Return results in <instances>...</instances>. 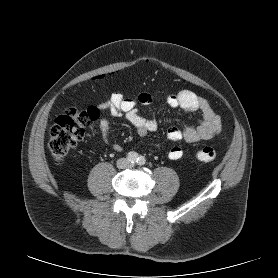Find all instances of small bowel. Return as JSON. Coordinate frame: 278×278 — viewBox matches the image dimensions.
Returning a JSON list of instances; mask_svg holds the SVG:
<instances>
[{"label": "small bowel", "instance_id": "1", "mask_svg": "<svg viewBox=\"0 0 278 278\" xmlns=\"http://www.w3.org/2000/svg\"><path fill=\"white\" fill-rule=\"evenodd\" d=\"M102 77L104 75L97 78L100 79ZM152 102L153 96L146 91L140 92L136 98L125 97L122 92L117 91L99 107H96V109L99 113L100 110H105L113 116L125 117L135 126L138 135L145 137L157 130L158 123L154 119L142 116L137 109V104L149 105ZM166 102L171 108H179L185 113L200 112L202 117L201 122L196 126H187L184 129L174 125L170 126L167 130V138L171 142H179L181 140H185L188 143L207 141L221 132L222 123L220 116L213 110L205 98L193 91L183 89L176 93H170L166 97ZM100 127L104 141L110 143L112 134L109 120L102 118ZM112 147L115 151L122 150V146L117 142L112 143ZM182 156L183 149L179 146H174L168 151V158L171 160H178Z\"/></svg>", "mask_w": 278, "mask_h": 278}]
</instances>
